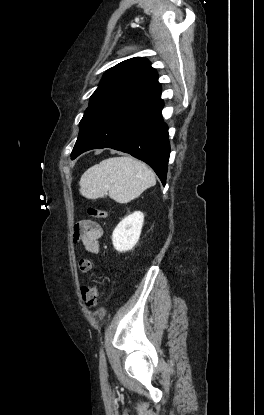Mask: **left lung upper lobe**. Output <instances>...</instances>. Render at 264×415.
<instances>
[{"instance_id": "1", "label": "left lung upper lobe", "mask_w": 264, "mask_h": 415, "mask_svg": "<svg viewBox=\"0 0 264 415\" xmlns=\"http://www.w3.org/2000/svg\"><path fill=\"white\" fill-rule=\"evenodd\" d=\"M158 83V75L143 57L125 60L107 70L92 94L89 107L80 121L78 139L71 158L86 139L98 119L120 101L136 95Z\"/></svg>"}]
</instances>
